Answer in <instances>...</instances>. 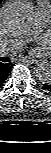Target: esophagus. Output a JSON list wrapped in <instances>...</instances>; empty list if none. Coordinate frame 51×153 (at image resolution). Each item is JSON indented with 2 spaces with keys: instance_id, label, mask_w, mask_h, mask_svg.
Segmentation results:
<instances>
[{
  "instance_id": "esophagus-1",
  "label": "esophagus",
  "mask_w": 51,
  "mask_h": 153,
  "mask_svg": "<svg viewBox=\"0 0 51 153\" xmlns=\"http://www.w3.org/2000/svg\"><path fill=\"white\" fill-rule=\"evenodd\" d=\"M23 62L27 63V64H36V63H38V60H35L32 58H25V59H23Z\"/></svg>"
}]
</instances>
